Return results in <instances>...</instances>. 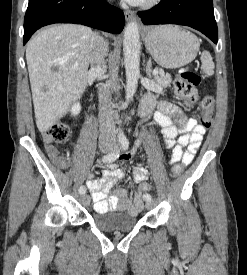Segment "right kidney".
<instances>
[{"label":"right kidney","mask_w":247,"mask_h":275,"mask_svg":"<svg viewBox=\"0 0 247 275\" xmlns=\"http://www.w3.org/2000/svg\"><path fill=\"white\" fill-rule=\"evenodd\" d=\"M80 111H81L80 103L79 102L74 103L71 107V115L76 116L80 113Z\"/></svg>","instance_id":"1"}]
</instances>
